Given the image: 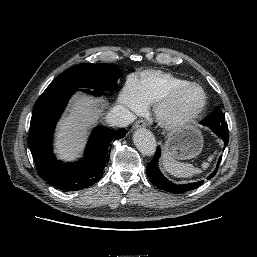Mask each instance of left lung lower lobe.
Listing matches in <instances>:
<instances>
[{
	"label": "left lung lower lobe",
	"instance_id": "1",
	"mask_svg": "<svg viewBox=\"0 0 257 257\" xmlns=\"http://www.w3.org/2000/svg\"><path fill=\"white\" fill-rule=\"evenodd\" d=\"M210 128L218 136V138L223 140L224 142L223 150H224L229 141L227 123H224L216 127H210ZM160 154H161V149L158 146L153 159L147 164V169H146L147 176L156 187L164 191L177 194V193H184V192L191 191L203 184L204 182L203 180L198 182L183 184V185H177L170 182L168 179H166L163 176V174L160 172L158 168V161H159ZM221 158L222 156L219 157L215 171L207 177L208 180L211 179L216 174Z\"/></svg>",
	"mask_w": 257,
	"mask_h": 257
}]
</instances>
